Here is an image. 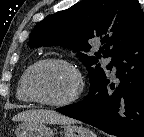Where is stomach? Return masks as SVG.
I'll list each match as a JSON object with an SVG mask.
<instances>
[{"mask_svg": "<svg viewBox=\"0 0 144 137\" xmlns=\"http://www.w3.org/2000/svg\"><path fill=\"white\" fill-rule=\"evenodd\" d=\"M16 137H54V132L45 123H22L15 129ZM64 137H96L89 129L66 124L64 126Z\"/></svg>", "mask_w": 144, "mask_h": 137, "instance_id": "obj_1", "label": "stomach"}]
</instances>
